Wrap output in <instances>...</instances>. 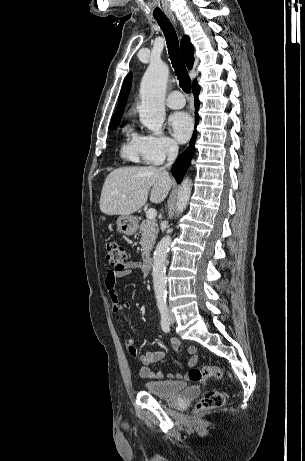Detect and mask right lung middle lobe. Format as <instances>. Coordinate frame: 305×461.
Masks as SVG:
<instances>
[{
  "label": "right lung middle lobe",
  "instance_id": "dd1d6c3e",
  "mask_svg": "<svg viewBox=\"0 0 305 461\" xmlns=\"http://www.w3.org/2000/svg\"><path fill=\"white\" fill-rule=\"evenodd\" d=\"M120 121H116V122H111L110 126H109V129H114L118 124H119Z\"/></svg>",
  "mask_w": 305,
  "mask_h": 461
}]
</instances>
